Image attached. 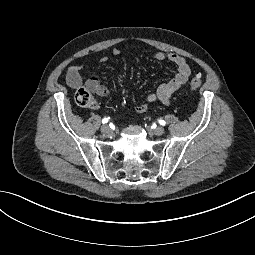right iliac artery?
Segmentation results:
<instances>
[{
    "instance_id": "82829eb1",
    "label": "right iliac artery",
    "mask_w": 255,
    "mask_h": 255,
    "mask_svg": "<svg viewBox=\"0 0 255 255\" xmlns=\"http://www.w3.org/2000/svg\"><path fill=\"white\" fill-rule=\"evenodd\" d=\"M109 119H110L109 117H108V118H104V119L102 120V123H103V124L107 123V122L109 121Z\"/></svg>"
}]
</instances>
